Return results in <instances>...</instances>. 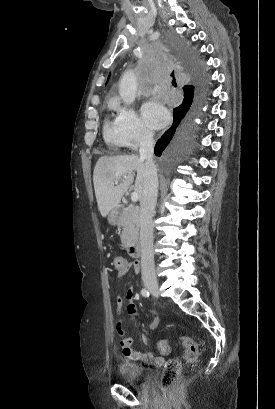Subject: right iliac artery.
Segmentation results:
<instances>
[{
    "label": "right iliac artery",
    "mask_w": 275,
    "mask_h": 409,
    "mask_svg": "<svg viewBox=\"0 0 275 409\" xmlns=\"http://www.w3.org/2000/svg\"><path fill=\"white\" fill-rule=\"evenodd\" d=\"M141 294H142V296H144V297H149V295H150L149 291H148L146 288H143V289L141 290Z\"/></svg>",
    "instance_id": "right-iliac-artery-1"
}]
</instances>
